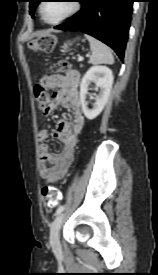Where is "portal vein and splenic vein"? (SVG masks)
<instances>
[{"label": "portal vein and splenic vein", "instance_id": "portal-vein-and-splenic-vein-1", "mask_svg": "<svg viewBox=\"0 0 158 275\" xmlns=\"http://www.w3.org/2000/svg\"><path fill=\"white\" fill-rule=\"evenodd\" d=\"M78 60H79V61H82V60H83V57H82V56H79V57H78Z\"/></svg>", "mask_w": 158, "mask_h": 275}]
</instances>
